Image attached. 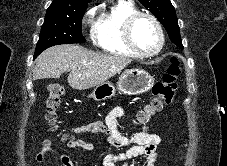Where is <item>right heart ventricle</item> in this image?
<instances>
[{"instance_id":"1","label":"right heart ventricle","mask_w":227,"mask_h":166,"mask_svg":"<svg viewBox=\"0 0 227 166\" xmlns=\"http://www.w3.org/2000/svg\"><path fill=\"white\" fill-rule=\"evenodd\" d=\"M136 12L131 1L119 0L101 13L93 26L96 46L108 54L137 57L126 46L122 33L125 20Z\"/></svg>"}]
</instances>
